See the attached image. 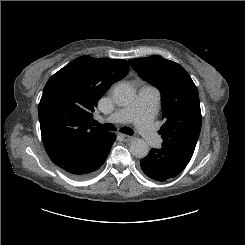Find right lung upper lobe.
Here are the masks:
<instances>
[{
	"instance_id": "cb5924a9",
	"label": "right lung upper lobe",
	"mask_w": 245,
	"mask_h": 245,
	"mask_svg": "<svg viewBox=\"0 0 245 245\" xmlns=\"http://www.w3.org/2000/svg\"><path fill=\"white\" fill-rule=\"evenodd\" d=\"M129 71L121 59L81 56L46 83L39 108L40 129L50 159L59 167L73 160L105 131L93 127L98 100Z\"/></svg>"
}]
</instances>
